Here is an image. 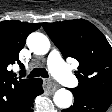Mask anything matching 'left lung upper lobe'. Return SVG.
I'll list each match as a JSON object with an SVG mask.
<instances>
[{"instance_id":"obj_1","label":"left lung upper lobe","mask_w":112,"mask_h":112,"mask_svg":"<svg viewBox=\"0 0 112 112\" xmlns=\"http://www.w3.org/2000/svg\"><path fill=\"white\" fill-rule=\"evenodd\" d=\"M43 28L65 58L80 63L79 84L70 91L112 100V47L100 30L84 19L43 23Z\"/></svg>"}]
</instances>
